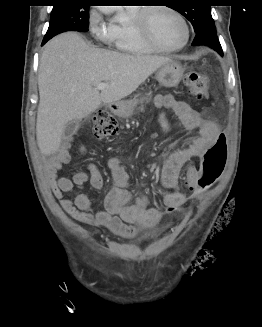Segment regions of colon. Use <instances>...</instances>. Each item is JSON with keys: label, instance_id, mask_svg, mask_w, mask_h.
I'll use <instances>...</instances> for the list:
<instances>
[{"label": "colon", "instance_id": "5ec220e1", "mask_svg": "<svg viewBox=\"0 0 262 327\" xmlns=\"http://www.w3.org/2000/svg\"><path fill=\"white\" fill-rule=\"evenodd\" d=\"M185 85L194 98H205L208 93V78L197 71H191L185 76ZM118 130L116 121L106 109H101L93 117V134L98 139L114 135ZM227 158V143L223 134L203 153L197 163L198 175L196 187L186 198L184 204L168 208L169 212H178L184 205L195 201L199 195L210 188L222 173Z\"/></svg>", "mask_w": 262, "mask_h": 327}]
</instances>
